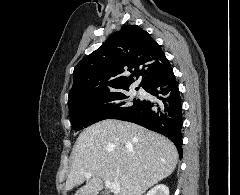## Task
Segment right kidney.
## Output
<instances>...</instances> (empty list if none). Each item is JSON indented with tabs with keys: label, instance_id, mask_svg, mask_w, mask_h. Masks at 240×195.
<instances>
[{
	"label": "right kidney",
	"instance_id": "ca27d5eb",
	"mask_svg": "<svg viewBox=\"0 0 240 195\" xmlns=\"http://www.w3.org/2000/svg\"><path fill=\"white\" fill-rule=\"evenodd\" d=\"M146 195H169V187L164 183H159V185H155L150 191H147Z\"/></svg>",
	"mask_w": 240,
	"mask_h": 195
}]
</instances>
